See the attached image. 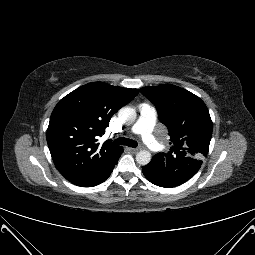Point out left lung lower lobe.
I'll use <instances>...</instances> for the list:
<instances>
[{
	"label": "left lung lower lobe",
	"mask_w": 255,
	"mask_h": 255,
	"mask_svg": "<svg viewBox=\"0 0 255 255\" xmlns=\"http://www.w3.org/2000/svg\"><path fill=\"white\" fill-rule=\"evenodd\" d=\"M143 174L145 177L153 184L164 187V188H171L181 185L184 182L175 181L169 177H166L154 169L150 168L148 165L142 168Z\"/></svg>",
	"instance_id": "obj_1"
}]
</instances>
